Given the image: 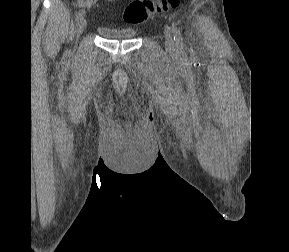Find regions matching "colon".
I'll return each instance as SVG.
<instances>
[{
	"mask_svg": "<svg viewBox=\"0 0 289 252\" xmlns=\"http://www.w3.org/2000/svg\"><path fill=\"white\" fill-rule=\"evenodd\" d=\"M181 0H132L123 13L124 21L140 24L156 14L176 10Z\"/></svg>",
	"mask_w": 289,
	"mask_h": 252,
	"instance_id": "5ec220e1",
	"label": "colon"
}]
</instances>
